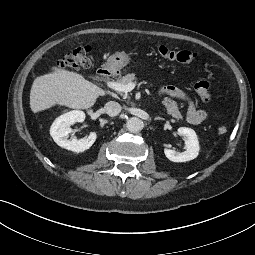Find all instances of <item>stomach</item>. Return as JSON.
I'll return each mask as SVG.
<instances>
[{
    "label": "stomach",
    "mask_w": 255,
    "mask_h": 255,
    "mask_svg": "<svg viewBox=\"0 0 255 255\" xmlns=\"http://www.w3.org/2000/svg\"><path fill=\"white\" fill-rule=\"evenodd\" d=\"M130 62V57L124 51L115 52L111 55L107 62V68L112 72H118Z\"/></svg>",
    "instance_id": "stomach-1"
}]
</instances>
